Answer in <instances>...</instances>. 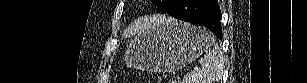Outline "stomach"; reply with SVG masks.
Wrapping results in <instances>:
<instances>
[{
  "label": "stomach",
  "mask_w": 307,
  "mask_h": 83,
  "mask_svg": "<svg viewBox=\"0 0 307 83\" xmlns=\"http://www.w3.org/2000/svg\"><path fill=\"white\" fill-rule=\"evenodd\" d=\"M210 45L205 29L168 19L138 34L124 57L130 67L171 72L190 64Z\"/></svg>",
  "instance_id": "stomach-1"
}]
</instances>
